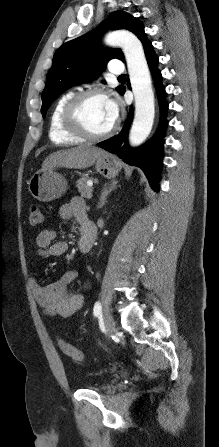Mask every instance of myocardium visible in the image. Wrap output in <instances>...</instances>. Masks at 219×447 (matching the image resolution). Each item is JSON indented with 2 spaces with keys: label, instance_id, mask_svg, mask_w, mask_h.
<instances>
[{
  "label": "myocardium",
  "instance_id": "obj_1",
  "mask_svg": "<svg viewBox=\"0 0 219 447\" xmlns=\"http://www.w3.org/2000/svg\"><path fill=\"white\" fill-rule=\"evenodd\" d=\"M91 98L106 99L107 96L101 90H87L73 95L66 103L61 119L62 124L70 133L88 141H98L111 136L116 130V124L102 132L94 133L90 131L81 120V109L84 104Z\"/></svg>",
  "mask_w": 219,
  "mask_h": 447
}]
</instances>
